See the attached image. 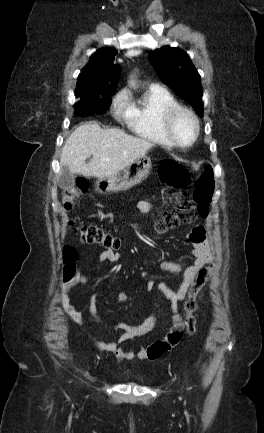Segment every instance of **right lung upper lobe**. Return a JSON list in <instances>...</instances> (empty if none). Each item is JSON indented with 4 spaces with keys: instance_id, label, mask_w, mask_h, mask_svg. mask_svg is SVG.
<instances>
[{
    "instance_id": "obj_1",
    "label": "right lung upper lobe",
    "mask_w": 264,
    "mask_h": 433,
    "mask_svg": "<svg viewBox=\"0 0 264 433\" xmlns=\"http://www.w3.org/2000/svg\"><path fill=\"white\" fill-rule=\"evenodd\" d=\"M116 54L114 48H102L90 57L78 76L75 95L79 99L115 92L121 72L120 66L113 63Z\"/></svg>"
}]
</instances>
